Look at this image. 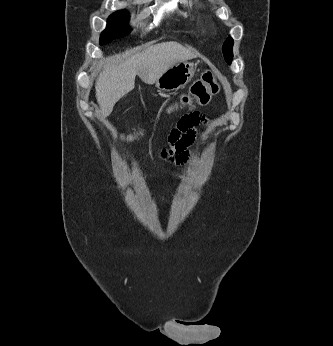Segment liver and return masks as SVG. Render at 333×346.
<instances>
[{
  "label": "liver",
  "instance_id": "obj_1",
  "mask_svg": "<svg viewBox=\"0 0 333 346\" xmlns=\"http://www.w3.org/2000/svg\"><path fill=\"white\" fill-rule=\"evenodd\" d=\"M198 55L197 51L177 42H166L153 45L142 52L107 58L102 63V72L95 85L101 116H109L115 104L134 89L136 75L144 83L151 85L177 62Z\"/></svg>",
  "mask_w": 333,
  "mask_h": 346
}]
</instances>
